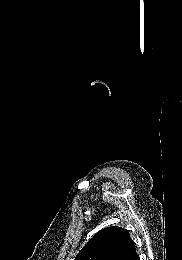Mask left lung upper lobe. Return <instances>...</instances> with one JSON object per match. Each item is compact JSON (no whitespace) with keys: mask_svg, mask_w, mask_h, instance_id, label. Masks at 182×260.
I'll use <instances>...</instances> for the list:
<instances>
[{"mask_svg":"<svg viewBox=\"0 0 182 260\" xmlns=\"http://www.w3.org/2000/svg\"><path fill=\"white\" fill-rule=\"evenodd\" d=\"M133 247L134 242L127 230L111 226L97 232L75 260H125Z\"/></svg>","mask_w":182,"mask_h":260,"instance_id":"left-lung-upper-lobe-1","label":"left lung upper lobe"}]
</instances>
